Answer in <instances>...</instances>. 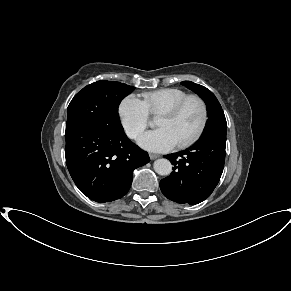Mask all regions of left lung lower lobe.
<instances>
[{
	"label": "left lung lower lobe",
	"instance_id": "1",
	"mask_svg": "<svg viewBox=\"0 0 291 291\" xmlns=\"http://www.w3.org/2000/svg\"><path fill=\"white\" fill-rule=\"evenodd\" d=\"M226 136L201 137L190 148L166 155L174 165L170 176L160 182L162 193L181 204H198L218 184L225 160Z\"/></svg>",
	"mask_w": 291,
	"mask_h": 291
}]
</instances>
